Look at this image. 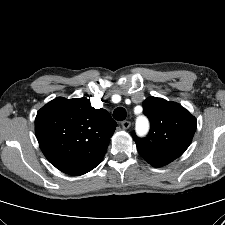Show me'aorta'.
I'll use <instances>...</instances> for the list:
<instances>
[{
  "label": "aorta",
  "instance_id": "obj_1",
  "mask_svg": "<svg viewBox=\"0 0 225 225\" xmlns=\"http://www.w3.org/2000/svg\"><path fill=\"white\" fill-rule=\"evenodd\" d=\"M148 130V122L145 118H139L137 122V131L141 134H144Z\"/></svg>",
  "mask_w": 225,
  "mask_h": 225
}]
</instances>
